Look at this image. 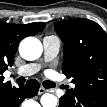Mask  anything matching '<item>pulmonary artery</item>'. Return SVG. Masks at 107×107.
<instances>
[{
    "instance_id": "pulmonary-artery-1",
    "label": "pulmonary artery",
    "mask_w": 107,
    "mask_h": 107,
    "mask_svg": "<svg viewBox=\"0 0 107 107\" xmlns=\"http://www.w3.org/2000/svg\"><path fill=\"white\" fill-rule=\"evenodd\" d=\"M44 58L46 61L53 60L59 53L60 40L56 36H47L43 39ZM40 64L31 63L17 70L19 76H31L39 71Z\"/></svg>"
}]
</instances>
